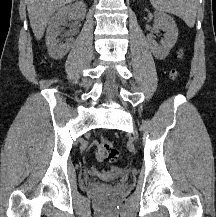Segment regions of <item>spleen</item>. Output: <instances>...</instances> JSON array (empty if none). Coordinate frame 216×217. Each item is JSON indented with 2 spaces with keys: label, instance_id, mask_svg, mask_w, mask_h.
Returning a JSON list of instances; mask_svg holds the SVG:
<instances>
[{
  "label": "spleen",
  "instance_id": "obj_1",
  "mask_svg": "<svg viewBox=\"0 0 216 217\" xmlns=\"http://www.w3.org/2000/svg\"><path fill=\"white\" fill-rule=\"evenodd\" d=\"M151 3L160 11L178 16L188 27H194L198 0H151Z\"/></svg>",
  "mask_w": 216,
  "mask_h": 217
}]
</instances>
